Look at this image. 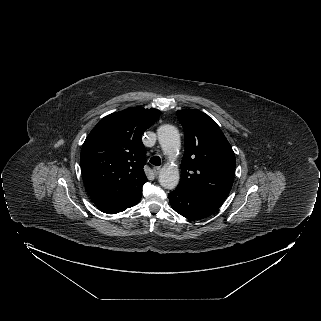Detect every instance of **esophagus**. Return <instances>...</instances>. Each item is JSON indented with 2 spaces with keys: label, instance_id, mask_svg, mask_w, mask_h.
<instances>
[{
  "label": "esophagus",
  "instance_id": "esophagus-1",
  "mask_svg": "<svg viewBox=\"0 0 321 321\" xmlns=\"http://www.w3.org/2000/svg\"><path fill=\"white\" fill-rule=\"evenodd\" d=\"M152 170H153L154 174L157 176V175H159L161 168L159 166H154L152 168Z\"/></svg>",
  "mask_w": 321,
  "mask_h": 321
}]
</instances>
